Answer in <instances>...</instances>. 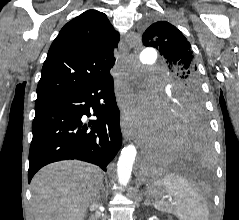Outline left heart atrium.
Listing matches in <instances>:
<instances>
[{
    "label": "left heart atrium",
    "instance_id": "obj_1",
    "mask_svg": "<svg viewBox=\"0 0 239 220\" xmlns=\"http://www.w3.org/2000/svg\"><path fill=\"white\" fill-rule=\"evenodd\" d=\"M130 124H131V126H136L138 124V120L135 116H132L130 118Z\"/></svg>",
    "mask_w": 239,
    "mask_h": 220
}]
</instances>
